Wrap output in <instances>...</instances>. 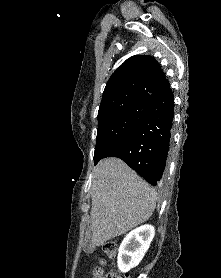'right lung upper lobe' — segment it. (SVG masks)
Wrapping results in <instances>:
<instances>
[{"label": "right lung upper lobe", "mask_w": 221, "mask_h": 278, "mask_svg": "<svg viewBox=\"0 0 221 278\" xmlns=\"http://www.w3.org/2000/svg\"><path fill=\"white\" fill-rule=\"evenodd\" d=\"M169 88V82L155 58L132 56L108 80L98 115L132 102H147L150 97Z\"/></svg>", "instance_id": "obj_1"}]
</instances>
